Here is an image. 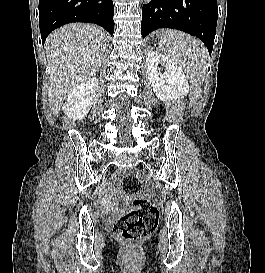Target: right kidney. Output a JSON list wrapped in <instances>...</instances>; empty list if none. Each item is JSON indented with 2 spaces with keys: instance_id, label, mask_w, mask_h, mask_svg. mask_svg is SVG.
<instances>
[{
  "instance_id": "ca27d5eb",
  "label": "right kidney",
  "mask_w": 265,
  "mask_h": 273,
  "mask_svg": "<svg viewBox=\"0 0 265 273\" xmlns=\"http://www.w3.org/2000/svg\"><path fill=\"white\" fill-rule=\"evenodd\" d=\"M98 89V80L90 78L77 85L68 95L62 109L64 113L74 120H81L90 111L95 92Z\"/></svg>"
}]
</instances>
